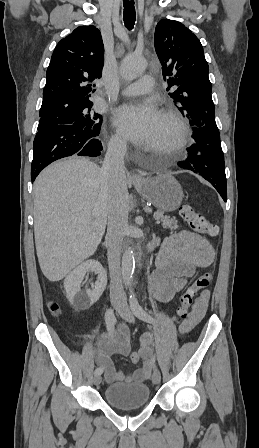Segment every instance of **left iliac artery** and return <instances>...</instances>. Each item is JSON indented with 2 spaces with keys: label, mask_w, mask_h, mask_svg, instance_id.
I'll return each instance as SVG.
<instances>
[{
  "label": "left iliac artery",
  "mask_w": 259,
  "mask_h": 448,
  "mask_svg": "<svg viewBox=\"0 0 259 448\" xmlns=\"http://www.w3.org/2000/svg\"><path fill=\"white\" fill-rule=\"evenodd\" d=\"M129 291H130V297H129L130 308L132 312L135 314V316L140 320H143L151 324H155L154 318H152L139 304L132 287H129Z\"/></svg>",
  "instance_id": "obj_1"
}]
</instances>
